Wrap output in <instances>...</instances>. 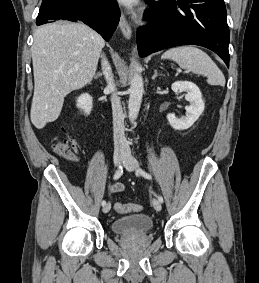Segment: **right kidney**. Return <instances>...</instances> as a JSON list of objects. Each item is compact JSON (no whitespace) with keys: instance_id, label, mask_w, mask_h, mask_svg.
Returning a JSON list of instances; mask_svg holds the SVG:
<instances>
[{"instance_id":"obj_1","label":"right kidney","mask_w":259,"mask_h":283,"mask_svg":"<svg viewBox=\"0 0 259 283\" xmlns=\"http://www.w3.org/2000/svg\"><path fill=\"white\" fill-rule=\"evenodd\" d=\"M77 107L89 115L93 108V98L87 93L80 95L77 99Z\"/></svg>"}]
</instances>
